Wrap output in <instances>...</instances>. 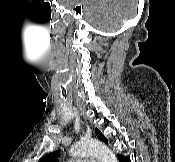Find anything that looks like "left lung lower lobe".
I'll list each match as a JSON object with an SVG mask.
<instances>
[{"label":"left lung lower lobe","mask_w":175,"mask_h":162,"mask_svg":"<svg viewBox=\"0 0 175 162\" xmlns=\"http://www.w3.org/2000/svg\"><path fill=\"white\" fill-rule=\"evenodd\" d=\"M118 159L120 162H131L129 157H125V156L119 155V154H118Z\"/></svg>","instance_id":"1"}]
</instances>
